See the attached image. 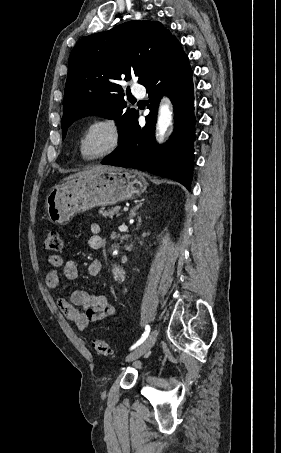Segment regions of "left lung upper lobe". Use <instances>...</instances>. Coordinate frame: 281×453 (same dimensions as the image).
I'll return each instance as SVG.
<instances>
[{
  "label": "left lung upper lobe",
  "mask_w": 281,
  "mask_h": 453,
  "mask_svg": "<svg viewBox=\"0 0 281 453\" xmlns=\"http://www.w3.org/2000/svg\"><path fill=\"white\" fill-rule=\"evenodd\" d=\"M174 38L158 21H130L82 38L68 62L62 117V139L70 124L84 116L116 119L121 142L138 117L126 108L118 80L138 77L144 84Z\"/></svg>",
  "instance_id": "5c2ea615"
}]
</instances>
